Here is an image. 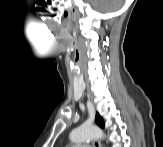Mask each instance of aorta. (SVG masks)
I'll use <instances>...</instances> for the list:
<instances>
[{
  "instance_id": "obj_1",
  "label": "aorta",
  "mask_w": 163,
  "mask_h": 147,
  "mask_svg": "<svg viewBox=\"0 0 163 147\" xmlns=\"http://www.w3.org/2000/svg\"><path fill=\"white\" fill-rule=\"evenodd\" d=\"M102 138H104L103 131L94 125H81L74 129L70 134V139L74 143H81Z\"/></svg>"
}]
</instances>
